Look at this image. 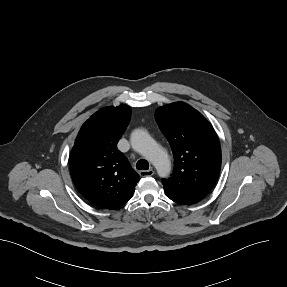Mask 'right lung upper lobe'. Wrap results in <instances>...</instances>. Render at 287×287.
I'll return each mask as SVG.
<instances>
[{
  "mask_svg": "<svg viewBox=\"0 0 287 287\" xmlns=\"http://www.w3.org/2000/svg\"><path fill=\"white\" fill-rule=\"evenodd\" d=\"M131 110L127 105L105 107L82 126L69 158L75 187L92 204L114 209L127 202L139 175L117 149Z\"/></svg>",
  "mask_w": 287,
  "mask_h": 287,
  "instance_id": "obj_1",
  "label": "right lung upper lobe"
}]
</instances>
